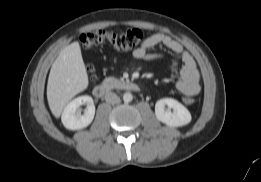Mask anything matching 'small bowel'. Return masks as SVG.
I'll list each match as a JSON object with an SVG mask.
<instances>
[{
    "mask_svg": "<svg viewBox=\"0 0 261 182\" xmlns=\"http://www.w3.org/2000/svg\"><path fill=\"white\" fill-rule=\"evenodd\" d=\"M157 45H163L176 57L172 63L177 72L176 89L184 95H197L200 92V77L192 56L184 50L180 42L164 33H155L147 37L144 42L133 51V57L147 61H156L159 55L152 52Z\"/></svg>",
    "mask_w": 261,
    "mask_h": 182,
    "instance_id": "1",
    "label": "small bowel"
}]
</instances>
